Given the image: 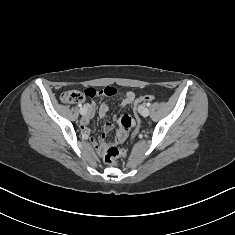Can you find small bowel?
Returning a JSON list of instances; mask_svg holds the SVG:
<instances>
[{
  "instance_id": "obj_1",
  "label": "small bowel",
  "mask_w": 235,
  "mask_h": 235,
  "mask_svg": "<svg viewBox=\"0 0 235 235\" xmlns=\"http://www.w3.org/2000/svg\"><path fill=\"white\" fill-rule=\"evenodd\" d=\"M113 90H114L113 94H116V90L114 88H113ZM134 100H135V94L131 91L127 92L122 98L121 106L122 107L131 106L133 104ZM84 106L87 111V118L83 119L81 121L80 126L83 130L88 132L87 122L95 113V105H94V103H86ZM107 112H108V105L102 104L100 107V116L102 118H104L106 116ZM111 128H112V124L110 122H107L104 125V130H106V131L110 130Z\"/></svg>"
}]
</instances>
